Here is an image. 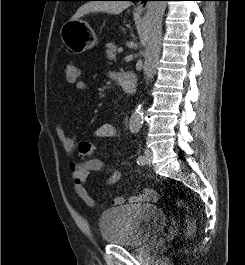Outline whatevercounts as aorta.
Returning <instances> with one entry per match:
<instances>
[{
	"label": "aorta",
	"mask_w": 245,
	"mask_h": 265,
	"mask_svg": "<svg viewBox=\"0 0 245 265\" xmlns=\"http://www.w3.org/2000/svg\"><path fill=\"white\" fill-rule=\"evenodd\" d=\"M166 6V1H150L147 6L144 33L146 47L143 67L147 83L152 81L156 74L162 45V21ZM143 111L142 104H139L133 111L129 121L131 132L140 130L143 121Z\"/></svg>",
	"instance_id": "1"
}]
</instances>
